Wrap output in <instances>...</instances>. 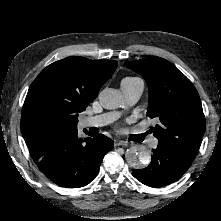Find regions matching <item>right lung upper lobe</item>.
I'll return each instance as SVG.
<instances>
[{
	"instance_id": "cb5924a9",
	"label": "right lung upper lobe",
	"mask_w": 221,
	"mask_h": 221,
	"mask_svg": "<svg viewBox=\"0 0 221 221\" xmlns=\"http://www.w3.org/2000/svg\"><path fill=\"white\" fill-rule=\"evenodd\" d=\"M117 65L115 60L75 56L44 68L31 84L22 109L21 131L27 146L74 131L70 116L86 109Z\"/></svg>"
}]
</instances>
